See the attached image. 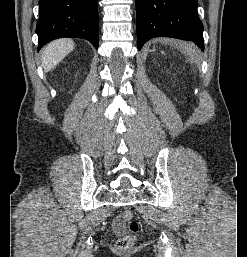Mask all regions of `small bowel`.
Instances as JSON below:
<instances>
[{"label":"small bowel","instance_id":"c3829d8e","mask_svg":"<svg viewBox=\"0 0 247 257\" xmlns=\"http://www.w3.org/2000/svg\"><path fill=\"white\" fill-rule=\"evenodd\" d=\"M113 227L116 233H122L124 231L123 223L119 218L114 220Z\"/></svg>","mask_w":247,"mask_h":257}]
</instances>
